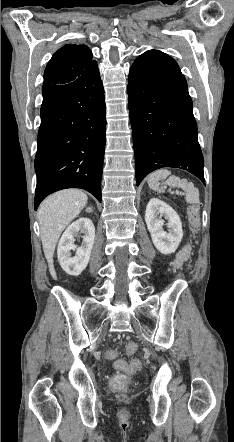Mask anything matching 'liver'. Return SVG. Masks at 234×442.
I'll list each match as a JSON object with an SVG mask.
<instances>
[{"label":"liver","instance_id":"1","mask_svg":"<svg viewBox=\"0 0 234 442\" xmlns=\"http://www.w3.org/2000/svg\"><path fill=\"white\" fill-rule=\"evenodd\" d=\"M87 195L77 189H66L47 197L40 205L38 219L41 240L49 271L54 279L53 254L59 237L66 226L76 218L87 204Z\"/></svg>","mask_w":234,"mask_h":442}]
</instances>
